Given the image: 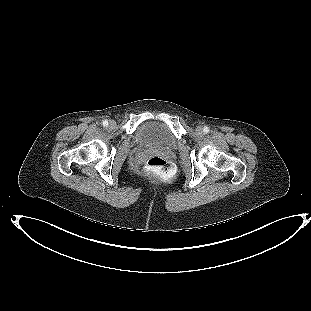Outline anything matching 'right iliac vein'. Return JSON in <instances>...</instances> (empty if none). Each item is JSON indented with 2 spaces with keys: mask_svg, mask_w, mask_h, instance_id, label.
<instances>
[{
  "mask_svg": "<svg viewBox=\"0 0 311 311\" xmlns=\"http://www.w3.org/2000/svg\"><path fill=\"white\" fill-rule=\"evenodd\" d=\"M109 127L112 128V129L115 128L116 127V122L114 120H111L109 122Z\"/></svg>",
  "mask_w": 311,
  "mask_h": 311,
  "instance_id": "1",
  "label": "right iliac vein"
}]
</instances>
